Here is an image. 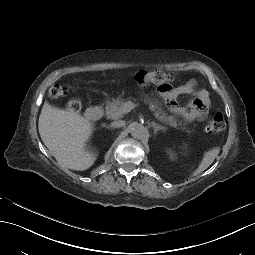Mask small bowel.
Returning <instances> with one entry per match:
<instances>
[{
    "instance_id": "1",
    "label": "small bowel",
    "mask_w": 255,
    "mask_h": 255,
    "mask_svg": "<svg viewBox=\"0 0 255 255\" xmlns=\"http://www.w3.org/2000/svg\"><path fill=\"white\" fill-rule=\"evenodd\" d=\"M196 82L194 80H189L184 85L176 88L170 94L180 95V94H194L195 98L185 107L179 106L175 101H170V108L173 112L180 114L186 120L192 121L196 119H203L210 106V96L207 90L201 89L196 91ZM163 92H168V90H162Z\"/></svg>"
}]
</instances>
